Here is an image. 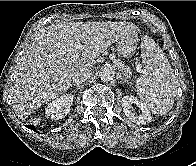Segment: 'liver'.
Returning a JSON list of instances; mask_svg holds the SVG:
<instances>
[{
    "instance_id": "6515ba94",
    "label": "liver",
    "mask_w": 196,
    "mask_h": 166,
    "mask_svg": "<svg viewBox=\"0 0 196 166\" xmlns=\"http://www.w3.org/2000/svg\"><path fill=\"white\" fill-rule=\"evenodd\" d=\"M135 30L133 23L111 21H58L40 30L26 48L15 75L12 99L16 115L24 120L65 93L76 72L92 70L102 52ZM76 53L79 58L74 59Z\"/></svg>"
}]
</instances>
